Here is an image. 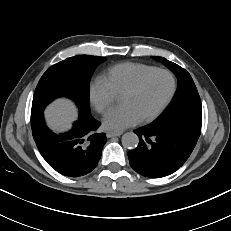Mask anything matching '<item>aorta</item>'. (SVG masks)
I'll use <instances>...</instances> for the list:
<instances>
[{"mask_svg":"<svg viewBox=\"0 0 231 231\" xmlns=\"http://www.w3.org/2000/svg\"><path fill=\"white\" fill-rule=\"evenodd\" d=\"M139 138L134 132H127L122 136V144L125 148L134 149L138 146Z\"/></svg>","mask_w":231,"mask_h":231,"instance_id":"1","label":"aorta"}]
</instances>
